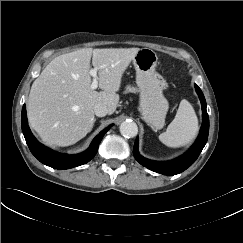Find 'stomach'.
Listing matches in <instances>:
<instances>
[{
	"mask_svg": "<svg viewBox=\"0 0 243 243\" xmlns=\"http://www.w3.org/2000/svg\"><path fill=\"white\" fill-rule=\"evenodd\" d=\"M158 57L149 48H142L135 55L136 84L140 92V109L143 120L154 130L163 128L169 108L163 95L164 78L156 72Z\"/></svg>",
	"mask_w": 243,
	"mask_h": 243,
	"instance_id": "stomach-1",
	"label": "stomach"
}]
</instances>
